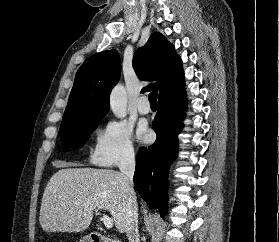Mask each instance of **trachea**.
Instances as JSON below:
<instances>
[{
	"mask_svg": "<svg viewBox=\"0 0 279 242\" xmlns=\"http://www.w3.org/2000/svg\"><path fill=\"white\" fill-rule=\"evenodd\" d=\"M157 91H153L149 94V102L151 105H157Z\"/></svg>",
	"mask_w": 279,
	"mask_h": 242,
	"instance_id": "1",
	"label": "trachea"
}]
</instances>
